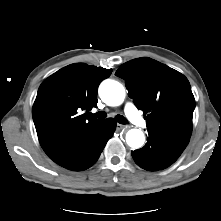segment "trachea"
<instances>
[{"label": "trachea", "instance_id": "obj_1", "mask_svg": "<svg viewBox=\"0 0 221 221\" xmlns=\"http://www.w3.org/2000/svg\"><path fill=\"white\" fill-rule=\"evenodd\" d=\"M92 116H93V117H96V118H99V119H104V118L107 117V114H106V112H104V111H99V112L93 114ZM115 120H116L118 123H120V124H128L127 119H126L124 116H122V115H117V116L115 117Z\"/></svg>", "mask_w": 221, "mask_h": 221}]
</instances>
